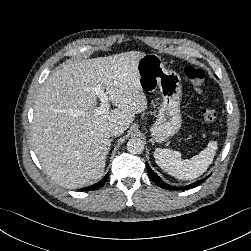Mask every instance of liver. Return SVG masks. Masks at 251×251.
I'll list each match as a JSON object with an SVG mask.
<instances>
[{
  "label": "liver",
  "instance_id": "6515ba94",
  "mask_svg": "<svg viewBox=\"0 0 251 251\" xmlns=\"http://www.w3.org/2000/svg\"><path fill=\"white\" fill-rule=\"evenodd\" d=\"M144 52L129 51L83 61L69 60L43 83L36 97L32 145L45 172L58 185L76 189L100 179L111 139L147 108L137 63ZM100 85L116 106L96 115Z\"/></svg>",
  "mask_w": 251,
  "mask_h": 251
}]
</instances>
